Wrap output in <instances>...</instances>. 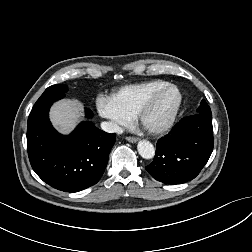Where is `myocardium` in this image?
I'll use <instances>...</instances> for the list:
<instances>
[{"label":"myocardium","instance_id":"1","mask_svg":"<svg viewBox=\"0 0 252 252\" xmlns=\"http://www.w3.org/2000/svg\"><path fill=\"white\" fill-rule=\"evenodd\" d=\"M169 89H174L178 93V100L176 103V106L170 115L169 119L163 123L162 125L159 126H149L145 122V117L147 113L150 111V109L154 106L156 100L159 98V96L165 92L166 90ZM184 103V96L181 91V89L173 84V83H168L162 87H159L155 91H153L149 97L142 103V105L139 107L137 113H136V119L138 123L141 125V127L146 130L148 133L153 134V135H161L166 132H168L173 125L175 124L177 117L182 109Z\"/></svg>","mask_w":252,"mask_h":252}]
</instances>
